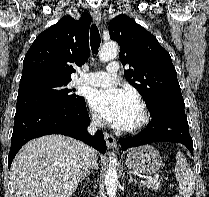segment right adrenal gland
I'll return each instance as SVG.
<instances>
[{"mask_svg":"<svg viewBox=\"0 0 209 197\" xmlns=\"http://www.w3.org/2000/svg\"><path fill=\"white\" fill-rule=\"evenodd\" d=\"M82 180H88V171H84L83 176L80 180V183H82Z\"/></svg>","mask_w":209,"mask_h":197,"instance_id":"2a0ac1e0","label":"right adrenal gland"}]
</instances>
